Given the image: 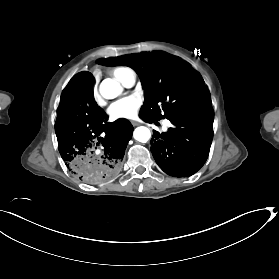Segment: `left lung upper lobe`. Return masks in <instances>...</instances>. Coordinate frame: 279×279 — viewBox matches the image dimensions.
I'll return each mask as SVG.
<instances>
[{"label": "left lung upper lobe", "mask_w": 279, "mask_h": 279, "mask_svg": "<svg viewBox=\"0 0 279 279\" xmlns=\"http://www.w3.org/2000/svg\"><path fill=\"white\" fill-rule=\"evenodd\" d=\"M105 66L126 65L138 74L145 100L140 116L169 120L212 110L204 81L185 61L164 52L129 54L102 58ZM163 114V115H162Z\"/></svg>", "instance_id": "left-lung-upper-lobe-1"}]
</instances>
